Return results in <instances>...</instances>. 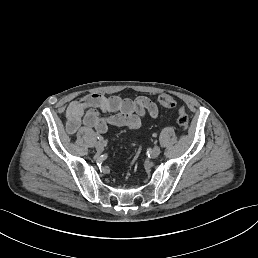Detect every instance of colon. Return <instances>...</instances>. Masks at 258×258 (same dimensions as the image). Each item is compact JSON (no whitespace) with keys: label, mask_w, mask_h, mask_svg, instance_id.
Returning <instances> with one entry per match:
<instances>
[{"label":"colon","mask_w":258,"mask_h":258,"mask_svg":"<svg viewBox=\"0 0 258 258\" xmlns=\"http://www.w3.org/2000/svg\"><path fill=\"white\" fill-rule=\"evenodd\" d=\"M159 103L165 108H174L176 106V101L168 94L160 95ZM177 122L183 129H186L189 125V117L184 107L178 109Z\"/></svg>","instance_id":"5ec220e1"}]
</instances>
